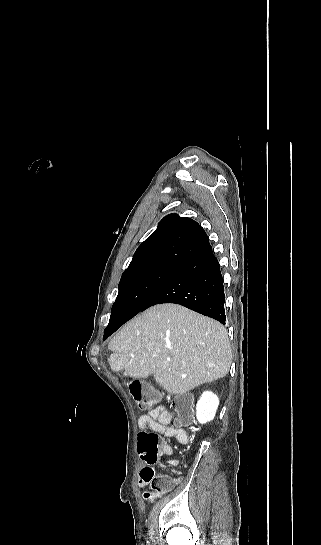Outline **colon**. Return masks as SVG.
<instances>
[{"label":"colon","instance_id":"colon-1","mask_svg":"<svg viewBox=\"0 0 321 545\" xmlns=\"http://www.w3.org/2000/svg\"><path fill=\"white\" fill-rule=\"evenodd\" d=\"M130 394L140 409L151 410L158 401V394L155 389L142 381H131L129 383ZM178 410L181 423H188L192 419V409L188 399H179L174 402ZM160 437L157 433L141 432L139 434L138 446L141 454L147 460H155L158 455ZM178 477L169 475H152L149 478V489L144 492V498L153 500L167 491L171 490L177 483Z\"/></svg>","mask_w":321,"mask_h":545}]
</instances>
